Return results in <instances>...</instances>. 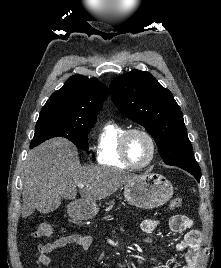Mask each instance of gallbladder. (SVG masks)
<instances>
[{
    "mask_svg": "<svg viewBox=\"0 0 221 268\" xmlns=\"http://www.w3.org/2000/svg\"><path fill=\"white\" fill-rule=\"evenodd\" d=\"M61 203V199H37V204L40 205H36V210L39 213H51L60 207Z\"/></svg>",
    "mask_w": 221,
    "mask_h": 268,
    "instance_id": "obj_1",
    "label": "gallbladder"
}]
</instances>
